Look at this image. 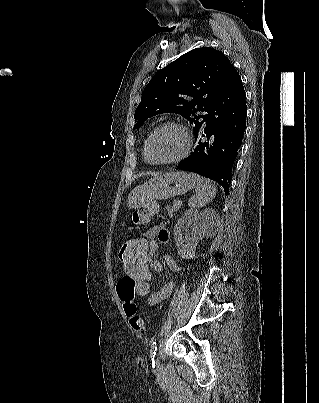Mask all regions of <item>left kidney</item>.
<instances>
[{
  "label": "left kidney",
  "mask_w": 319,
  "mask_h": 403,
  "mask_svg": "<svg viewBox=\"0 0 319 403\" xmlns=\"http://www.w3.org/2000/svg\"><path fill=\"white\" fill-rule=\"evenodd\" d=\"M217 218V214L213 209H206L203 212H199L197 209H189L181 216L177 224L174 227V239L178 248L179 255L184 259L193 257L196 246L202 239L209 220ZM186 222L193 224L191 229V237L187 243H185L182 235V228Z\"/></svg>",
  "instance_id": "obj_1"
}]
</instances>
